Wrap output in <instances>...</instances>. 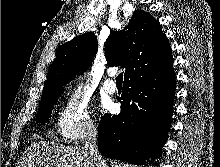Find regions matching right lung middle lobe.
<instances>
[{"label": "right lung middle lobe", "mask_w": 220, "mask_h": 167, "mask_svg": "<svg viewBox=\"0 0 220 167\" xmlns=\"http://www.w3.org/2000/svg\"><path fill=\"white\" fill-rule=\"evenodd\" d=\"M62 92H63V90L53 94L52 96H50L40 102L38 114L36 117L37 123L44 124L49 120V118L51 116L52 109H53L57 99L59 98V96L61 95Z\"/></svg>", "instance_id": "dd1d6c3e"}]
</instances>
